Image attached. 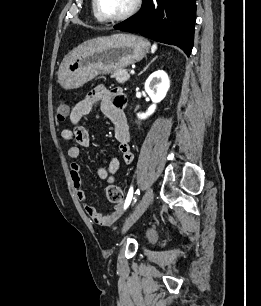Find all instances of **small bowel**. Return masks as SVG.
Instances as JSON below:
<instances>
[{
    "label": "small bowel",
    "instance_id": "1",
    "mask_svg": "<svg viewBox=\"0 0 261 306\" xmlns=\"http://www.w3.org/2000/svg\"><path fill=\"white\" fill-rule=\"evenodd\" d=\"M124 96L120 89L109 90L105 87H97L87 96L81 99L70 112L69 119L72 128H65L61 131V138L65 141L74 140L77 145L67 150V156L71 159L79 157L80 147L90 145V136L87 129L81 125V121L90 115L95 109L101 112L113 123L114 137L118 142V149L121 160L113 157L109 160L107 168L99 166L96 169L100 179L105 180L109 175L118 172L121 162L129 165L133 161V153L130 148V131L127 117L124 111ZM70 176L78 199L83 203L86 213L91 220L99 226H110L122 215V205H116L109 213H99L87 200L82 187L80 166L76 162L70 164Z\"/></svg>",
    "mask_w": 261,
    "mask_h": 306
}]
</instances>
